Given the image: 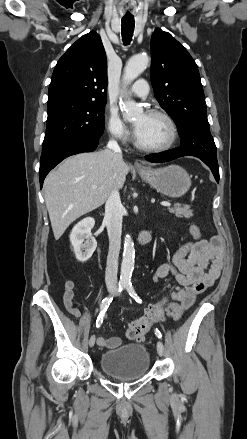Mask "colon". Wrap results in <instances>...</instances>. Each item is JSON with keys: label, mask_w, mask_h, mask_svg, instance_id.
Instances as JSON below:
<instances>
[{"label": "colon", "mask_w": 247, "mask_h": 439, "mask_svg": "<svg viewBox=\"0 0 247 439\" xmlns=\"http://www.w3.org/2000/svg\"><path fill=\"white\" fill-rule=\"evenodd\" d=\"M190 233L195 240H200L201 230L197 225L190 226ZM170 303V298L165 297L152 305L142 317L132 321L127 328V338L131 340L143 338L154 323L164 319Z\"/></svg>", "instance_id": "5ec220e1"}]
</instances>
